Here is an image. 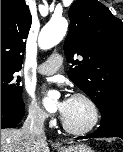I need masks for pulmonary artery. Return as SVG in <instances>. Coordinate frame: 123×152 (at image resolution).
Listing matches in <instances>:
<instances>
[{
  "label": "pulmonary artery",
  "instance_id": "pulmonary-artery-1",
  "mask_svg": "<svg viewBox=\"0 0 123 152\" xmlns=\"http://www.w3.org/2000/svg\"><path fill=\"white\" fill-rule=\"evenodd\" d=\"M63 57L59 53H53L49 58L37 67V72L43 75L54 74L62 65Z\"/></svg>",
  "mask_w": 123,
  "mask_h": 152
}]
</instances>
